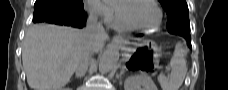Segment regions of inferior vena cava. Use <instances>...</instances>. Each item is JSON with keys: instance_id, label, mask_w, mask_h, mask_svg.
Instances as JSON below:
<instances>
[{"instance_id": "602c4592", "label": "inferior vena cava", "mask_w": 228, "mask_h": 90, "mask_svg": "<svg viewBox=\"0 0 228 90\" xmlns=\"http://www.w3.org/2000/svg\"><path fill=\"white\" fill-rule=\"evenodd\" d=\"M84 31L86 37L85 48L75 68L76 77L85 75L88 69L90 55L93 52V43L106 35L103 25L98 22V15L96 12H90Z\"/></svg>"}]
</instances>
